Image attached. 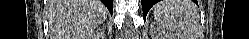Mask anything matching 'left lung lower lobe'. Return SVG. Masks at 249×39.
I'll return each mask as SVG.
<instances>
[{
	"label": "left lung lower lobe",
	"mask_w": 249,
	"mask_h": 39,
	"mask_svg": "<svg viewBox=\"0 0 249 39\" xmlns=\"http://www.w3.org/2000/svg\"><path fill=\"white\" fill-rule=\"evenodd\" d=\"M158 0H142V8H143V14L144 19L149 11V9L155 4ZM197 2V1H195Z\"/></svg>",
	"instance_id": "left-lung-lower-lobe-1"
}]
</instances>
